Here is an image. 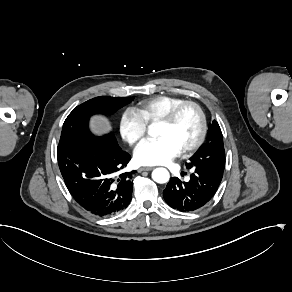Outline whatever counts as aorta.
<instances>
[{
	"label": "aorta",
	"instance_id": "1",
	"mask_svg": "<svg viewBox=\"0 0 292 292\" xmlns=\"http://www.w3.org/2000/svg\"><path fill=\"white\" fill-rule=\"evenodd\" d=\"M147 134L151 137L156 136V129L153 124L149 125L147 128ZM152 179L160 184L166 183L169 180V172L165 168H156L152 172Z\"/></svg>",
	"mask_w": 292,
	"mask_h": 292
}]
</instances>
